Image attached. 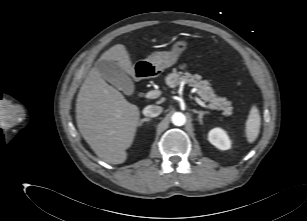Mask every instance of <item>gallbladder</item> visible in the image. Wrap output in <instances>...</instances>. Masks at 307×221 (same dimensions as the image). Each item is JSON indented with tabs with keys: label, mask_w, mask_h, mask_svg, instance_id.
<instances>
[{
	"label": "gallbladder",
	"mask_w": 307,
	"mask_h": 221,
	"mask_svg": "<svg viewBox=\"0 0 307 221\" xmlns=\"http://www.w3.org/2000/svg\"><path fill=\"white\" fill-rule=\"evenodd\" d=\"M95 67L107 82L122 90L127 95L133 93L134 84L131 78L117 62L98 59Z\"/></svg>",
	"instance_id": "1"
}]
</instances>
